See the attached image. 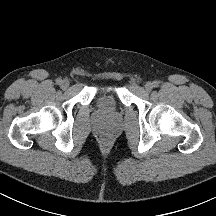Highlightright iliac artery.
<instances>
[{
    "label": "right iliac artery",
    "instance_id": "obj_1",
    "mask_svg": "<svg viewBox=\"0 0 216 216\" xmlns=\"http://www.w3.org/2000/svg\"><path fill=\"white\" fill-rule=\"evenodd\" d=\"M61 82H62V79H61V78H57V79H56V83H57L58 85H60Z\"/></svg>",
    "mask_w": 216,
    "mask_h": 216
}]
</instances>
